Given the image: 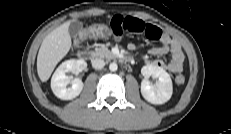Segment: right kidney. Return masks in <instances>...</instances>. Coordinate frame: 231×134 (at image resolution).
I'll list each match as a JSON object with an SVG mask.
<instances>
[{
    "instance_id": "right-kidney-1",
    "label": "right kidney",
    "mask_w": 231,
    "mask_h": 134,
    "mask_svg": "<svg viewBox=\"0 0 231 134\" xmlns=\"http://www.w3.org/2000/svg\"><path fill=\"white\" fill-rule=\"evenodd\" d=\"M86 67L87 63L82 59H71L63 62L56 69L51 79V89L55 96L62 100H71L76 98L83 89V82L79 78L71 80L66 73L71 71L74 74H78L85 70ZM70 83L72 86L67 88V85Z\"/></svg>"
}]
</instances>
